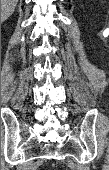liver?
<instances>
[{
  "label": "liver",
  "mask_w": 109,
  "mask_h": 170,
  "mask_svg": "<svg viewBox=\"0 0 109 170\" xmlns=\"http://www.w3.org/2000/svg\"><path fill=\"white\" fill-rule=\"evenodd\" d=\"M18 0H1V21L4 22L10 17L17 5Z\"/></svg>",
  "instance_id": "1"
}]
</instances>
